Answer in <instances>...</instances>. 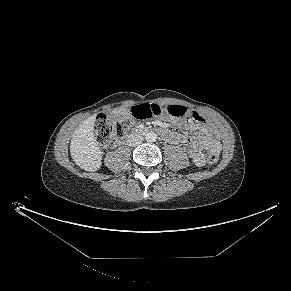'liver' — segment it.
<instances>
[{
    "label": "liver",
    "instance_id": "6515ba94",
    "mask_svg": "<svg viewBox=\"0 0 291 291\" xmlns=\"http://www.w3.org/2000/svg\"><path fill=\"white\" fill-rule=\"evenodd\" d=\"M95 115L86 119L76 130L70 144L72 159L87 171H97L101 166V151L94 135Z\"/></svg>",
    "mask_w": 291,
    "mask_h": 291
}]
</instances>
